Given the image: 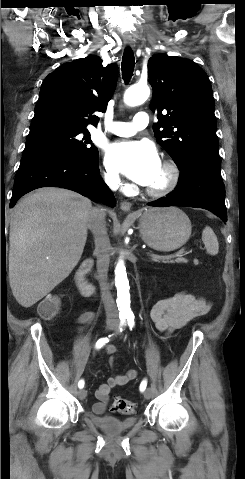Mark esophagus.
I'll use <instances>...</instances> for the list:
<instances>
[{"label":"esophagus","instance_id":"esophagus-1","mask_svg":"<svg viewBox=\"0 0 245 479\" xmlns=\"http://www.w3.org/2000/svg\"><path fill=\"white\" fill-rule=\"evenodd\" d=\"M124 44L127 46H133V41L130 39H124ZM132 204L128 201H123L120 204L121 210L124 212H130Z\"/></svg>","mask_w":245,"mask_h":479}]
</instances>
